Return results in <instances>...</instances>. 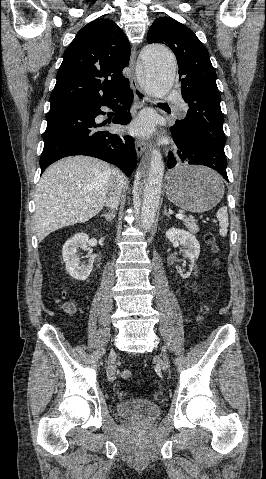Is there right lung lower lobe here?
I'll list each match as a JSON object with an SVG mask.
<instances>
[{
	"label": "right lung lower lobe",
	"instance_id": "right-lung-lower-lobe-1",
	"mask_svg": "<svg viewBox=\"0 0 266 479\" xmlns=\"http://www.w3.org/2000/svg\"><path fill=\"white\" fill-rule=\"evenodd\" d=\"M133 99L128 86L117 95L104 100L79 105L51 107L47 114V128L43 135L44 148L40 157L41 173L55 161L73 155H87L118 166L130 176L137 164L133 138L120 137L104 131L95 118L105 114L100 107L114 109L118 101L125 102L124 108L113 118V123L126 125L131 116L127 112Z\"/></svg>",
	"mask_w": 266,
	"mask_h": 479
}]
</instances>
